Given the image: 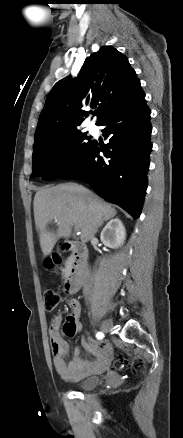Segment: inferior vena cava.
<instances>
[{"label":"inferior vena cava","instance_id":"obj_1","mask_svg":"<svg viewBox=\"0 0 183 438\" xmlns=\"http://www.w3.org/2000/svg\"><path fill=\"white\" fill-rule=\"evenodd\" d=\"M91 286V274H90V270H87L86 273V280H85V284H84V290H88Z\"/></svg>","mask_w":183,"mask_h":438}]
</instances>
